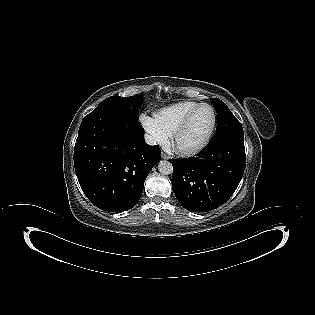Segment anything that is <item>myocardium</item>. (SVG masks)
I'll return each instance as SVG.
<instances>
[{"instance_id":"1","label":"myocardium","mask_w":315,"mask_h":315,"mask_svg":"<svg viewBox=\"0 0 315 315\" xmlns=\"http://www.w3.org/2000/svg\"><path fill=\"white\" fill-rule=\"evenodd\" d=\"M202 107H208L212 112L213 120H212V125L210 127L209 132L207 133L205 138L201 141V143H199L197 146L190 148V149L178 148L176 146L177 138L186 130V128L188 127V125H189L191 119L193 118V116L195 115V113ZM216 124H217V113H216L215 108L208 103H199L183 118V120L180 122V124L175 128L174 132L171 135L172 136V144L175 147V149L177 150V152L183 156H192V155L198 154L210 142V140L214 134Z\"/></svg>"}]
</instances>
